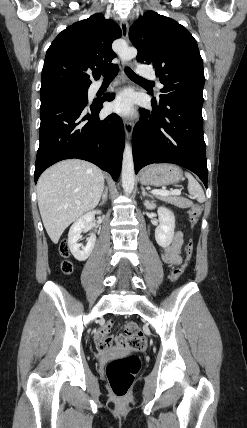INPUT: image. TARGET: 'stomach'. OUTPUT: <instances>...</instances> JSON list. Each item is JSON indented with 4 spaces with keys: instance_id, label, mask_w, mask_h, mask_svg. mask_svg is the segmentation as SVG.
<instances>
[{
    "instance_id": "1",
    "label": "stomach",
    "mask_w": 247,
    "mask_h": 428,
    "mask_svg": "<svg viewBox=\"0 0 247 428\" xmlns=\"http://www.w3.org/2000/svg\"><path fill=\"white\" fill-rule=\"evenodd\" d=\"M183 179L181 169L173 164H153L146 167L140 177L144 185L163 186L175 184Z\"/></svg>"
}]
</instances>
